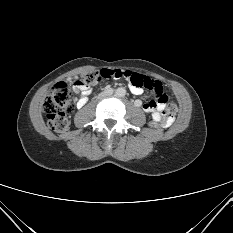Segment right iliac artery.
Returning <instances> with one entry per match:
<instances>
[{
  "mask_svg": "<svg viewBox=\"0 0 233 233\" xmlns=\"http://www.w3.org/2000/svg\"><path fill=\"white\" fill-rule=\"evenodd\" d=\"M135 104H136L137 106H139V105H140V101H136Z\"/></svg>",
  "mask_w": 233,
  "mask_h": 233,
  "instance_id": "82829eb1",
  "label": "right iliac artery"
}]
</instances>
